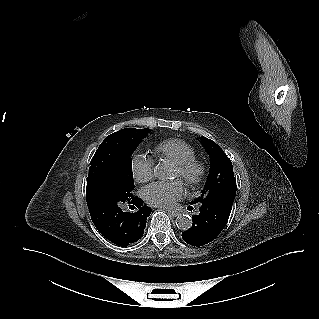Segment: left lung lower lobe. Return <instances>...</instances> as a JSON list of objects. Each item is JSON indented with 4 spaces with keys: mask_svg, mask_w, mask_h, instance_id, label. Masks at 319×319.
Listing matches in <instances>:
<instances>
[{
    "mask_svg": "<svg viewBox=\"0 0 319 319\" xmlns=\"http://www.w3.org/2000/svg\"><path fill=\"white\" fill-rule=\"evenodd\" d=\"M235 195L220 196L203 201L199 213L192 216V227L182 233L183 240L199 247L213 241L225 227Z\"/></svg>",
    "mask_w": 319,
    "mask_h": 319,
    "instance_id": "left-lung-lower-lobe-1",
    "label": "left lung lower lobe"
}]
</instances>
